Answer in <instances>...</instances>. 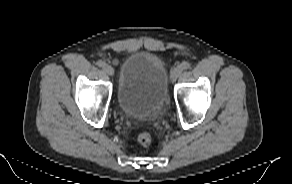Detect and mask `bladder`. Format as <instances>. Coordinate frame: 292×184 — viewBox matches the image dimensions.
Returning <instances> with one entry per match:
<instances>
[{"label":"bladder","instance_id":"bladder-1","mask_svg":"<svg viewBox=\"0 0 292 184\" xmlns=\"http://www.w3.org/2000/svg\"><path fill=\"white\" fill-rule=\"evenodd\" d=\"M169 77L163 61L148 52L129 55L123 62L117 87V103L128 117L157 119L169 96Z\"/></svg>","mask_w":292,"mask_h":184}]
</instances>
